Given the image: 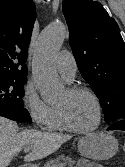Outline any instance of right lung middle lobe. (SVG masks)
<instances>
[{"mask_svg":"<svg viewBox=\"0 0 125 167\" xmlns=\"http://www.w3.org/2000/svg\"><path fill=\"white\" fill-rule=\"evenodd\" d=\"M26 78L0 77V101L23 106Z\"/></svg>","mask_w":125,"mask_h":167,"instance_id":"dd1d6c3e","label":"right lung middle lobe"}]
</instances>
